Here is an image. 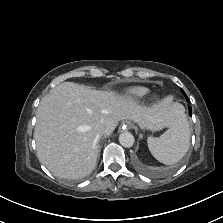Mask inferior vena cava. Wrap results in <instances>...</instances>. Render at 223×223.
Returning a JSON list of instances; mask_svg holds the SVG:
<instances>
[{
  "instance_id": "obj_1",
  "label": "inferior vena cava",
  "mask_w": 223,
  "mask_h": 223,
  "mask_svg": "<svg viewBox=\"0 0 223 223\" xmlns=\"http://www.w3.org/2000/svg\"><path fill=\"white\" fill-rule=\"evenodd\" d=\"M95 131L97 132L98 135L102 136L105 133L104 125H102V124L96 125Z\"/></svg>"
}]
</instances>
